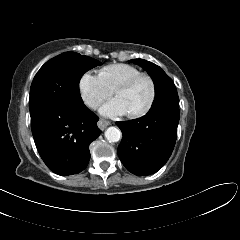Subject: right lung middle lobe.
<instances>
[{"label":"right lung middle lobe","mask_w":240,"mask_h":240,"mask_svg":"<svg viewBox=\"0 0 240 240\" xmlns=\"http://www.w3.org/2000/svg\"><path fill=\"white\" fill-rule=\"evenodd\" d=\"M101 62L75 52H65L46 62L35 75L30 89V115L54 105L83 103L79 80Z\"/></svg>","instance_id":"1"}]
</instances>
